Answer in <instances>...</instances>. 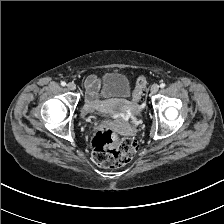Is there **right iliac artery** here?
I'll list each match as a JSON object with an SVG mask.
<instances>
[{"label":"right iliac artery","instance_id":"82829eb1","mask_svg":"<svg viewBox=\"0 0 224 224\" xmlns=\"http://www.w3.org/2000/svg\"><path fill=\"white\" fill-rule=\"evenodd\" d=\"M61 85H62V86H65V85H66V82H65V81H62V82H61Z\"/></svg>","mask_w":224,"mask_h":224}]
</instances>
